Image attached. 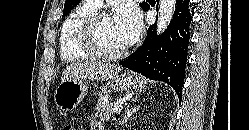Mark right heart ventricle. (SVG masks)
Listing matches in <instances>:
<instances>
[{
  "mask_svg": "<svg viewBox=\"0 0 249 130\" xmlns=\"http://www.w3.org/2000/svg\"><path fill=\"white\" fill-rule=\"evenodd\" d=\"M99 9L100 7L90 0H84L65 19L59 36L60 55L64 61H76L91 57L81 45L80 32L87 18Z\"/></svg>",
  "mask_w": 249,
  "mask_h": 130,
  "instance_id": "obj_1",
  "label": "right heart ventricle"
}]
</instances>
